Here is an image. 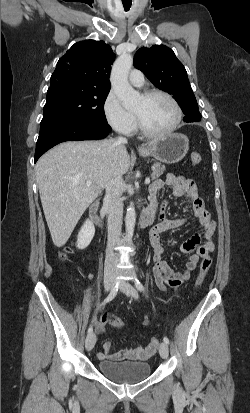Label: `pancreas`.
<instances>
[{
	"label": "pancreas",
	"instance_id": "1",
	"mask_svg": "<svg viewBox=\"0 0 250 413\" xmlns=\"http://www.w3.org/2000/svg\"><path fill=\"white\" fill-rule=\"evenodd\" d=\"M152 170H153V172H152L151 177H152L153 180H155L163 174V172L165 170V166L161 165L160 163H155Z\"/></svg>",
	"mask_w": 250,
	"mask_h": 413
}]
</instances>
